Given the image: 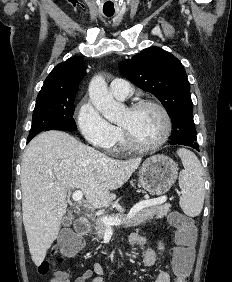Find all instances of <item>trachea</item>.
I'll return each mask as SVG.
<instances>
[{
  "label": "trachea",
  "mask_w": 232,
  "mask_h": 282,
  "mask_svg": "<svg viewBox=\"0 0 232 282\" xmlns=\"http://www.w3.org/2000/svg\"><path fill=\"white\" fill-rule=\"evenodd\" d=\"M105 15H106L107 17H111V16L113 15V13H105Z\"/></svg>",
  "instance_id": "trachea-1"
}]
</instances>
